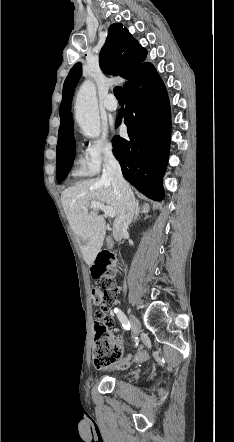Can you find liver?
I'll return each instance as SVG.
<instances>
[{"mask_svg":"<svg viewBox=\"0 0 234 442\" xmlns=\"http://www.w3.org/2000/svg\"><path fill=\"white\" fill-rule=\"evenodd\" d=\"M62 206L68 222L81 244L87 265L92 266L103 246L106 223L98 215V209L85 212L92 202H100L115 211L118 216L120 201L108 179L95 178L67 188L61 194Z\"/></svg>","mask_w":234,"mask_h":442,"instance_id":"1","label":"liver"}]
</instances>
